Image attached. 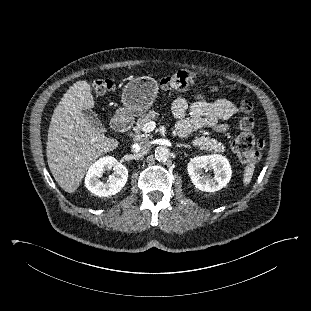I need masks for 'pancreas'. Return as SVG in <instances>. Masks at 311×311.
<instances>
[{
  "label": "pancreas",
  "mask_w": 311,
  "mask_h": 311,
  "mask_svg": "<svg viewBox=\"0 0 311 311\" xmlns=\"http://www.w3.org/2000/svg\"><path fill=\"white\" fill-rule=\"evenodd\" d=\"M159 114L155 111H149L147 114H144L142 118L138 119L134 131L136 133H141L143 131L144 125L151 121V119H157ZM194 146L199 147L201 150L213 151V152H223L225 150L224 145L221 142H218L216 139L209 137H196L192 141Z\"/></svg>",
  "instance_id": "obj_1"
}]
</instances>
